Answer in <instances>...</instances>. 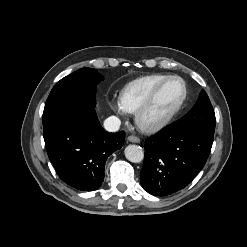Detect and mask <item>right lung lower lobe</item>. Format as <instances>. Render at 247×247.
<instances>
[{
    "label": "right lung lower lobe",
    "instance_id": "obj_1",
    "mask_svg": "<svg viewBox=\"0 0 247 247\" xmlns=\"http://www.w3.org/2000/svg\"><path fill=\"white\" fill-rule=\"evenodd\" d=\"M43 136L61 180L79 190L92 191L103 182L106 159L122 147L125 132H106L94 108H89L43 125Z\"/></svg>",
    "mask_w": 247,
    "mask_h": 247
}]
</instances>
